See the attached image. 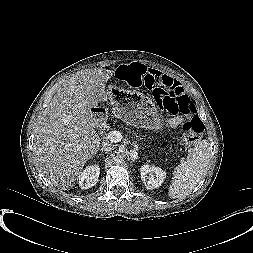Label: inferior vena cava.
I'll return each instance as SVG.
<instances>
[{
  "label": "inferior vena cava",
  "instance_id": "602c4592",
  "mask_svg": "<svg viewBox=\"0 0 253 253\" xmlns=\"http://www.w3.org/2000/svg\"><path fill=\"white\" fill-rule=\"evenodd\" d=\"M112 150H113V147L111 146V144L106 143L103 145L102 151L111 152Z\"/></svg>",
  "mask_w": 253,
  "mask_h": 253
}]
</instances>
